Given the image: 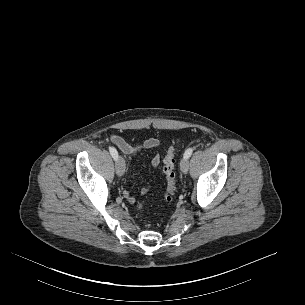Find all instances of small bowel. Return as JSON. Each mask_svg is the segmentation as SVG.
<instances>
[{"instance_id": "c3829d8e", "label": "small bowel", "mask_w": 305, "mask_h": 305, "mask_svg": "<svg viewBox=\"0 0 305 305\" xmlns=\"http://www.w3.org/2000/svg\"><path fill=\"white\" fill-rule=\"evenodd\" d=\"M110 141L116 145L119 150L128 156L129 158L135 157L137 154H139L143 150L153 149L159 146V140L156 138H148L146 140H143L140 143L137 144H130L127 141H125L122 137L112 134L110 136ZM161 158L159 154H154L151 159V166L155 169L160 165ZM151 186H145L141 189V195L146 194L150 190ZM124 197L129 203H134L136 200V197L129 193L128 191L124 192Z\"/></svg>"}]
</instances>
